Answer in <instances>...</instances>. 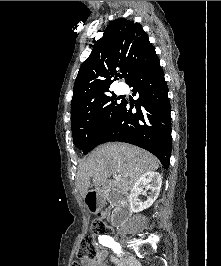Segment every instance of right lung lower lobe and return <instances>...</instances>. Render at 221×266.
I'll return each instance as SVG.
<instances>
[{
    "instance_id": "obj_1",
    "label": "right lung lower lobe",
    "mask_w": 221,
    "mask_h": 266,
    "mask_svg": "<svg viewBox=\"0 0 221 266\" xmlns=\"http://www.w3.org/2000/svg\"><path fill=\"white\" fill-rule=\"evenodd\" d=\"M139 97L135 105L124 101L123 107L98 145L109 142H126L154 154L169 168L171 156V117L168 87L159 59L136 73L130 83ZM133 106L137 112L133 113Z\"/></svg>"
}]
</instances>
